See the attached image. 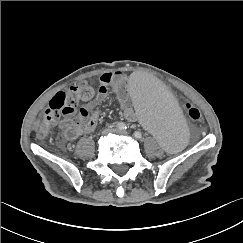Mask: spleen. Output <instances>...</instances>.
Returning <instances> with one entry per match:
<instances>
[{
    "mask_svg": "<svg viewBox=\"0 0 243 243\" xmlns=\"http://www.w3.org/2000/svg\"><path fill=\"white\" fill-rule=\"evenodd\" d=\"M125 89L138 128L160 150L174 153L188 144L191 130L187 118L176 95L156 75L135 71L127 78Z\"/></svg>",
    "mask_w": 243,
    "mask_h": 243,
    "instance_id": "1",
    "label": "spleen"
}]
</instances>
